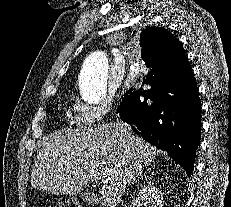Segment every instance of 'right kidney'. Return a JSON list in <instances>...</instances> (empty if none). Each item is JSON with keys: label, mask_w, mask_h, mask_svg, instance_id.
I'll list each match as a JSON object with an SVG mask.
<instances>
[{"label": "right kidney", "mask_w": 231, "mask_h": 207, "mask_svg": "<svg viewBox=\"0 0 231 207\" xmlns=\"http://www.w3.org/2000/svg\"><path fill=\"white\" fill-rule=\"evenodd\" d=\"M163 193L155 186H144L132 201V207H163Z\"/></svg>", "instance_id": "ca27d5eb"}]
</instances>
